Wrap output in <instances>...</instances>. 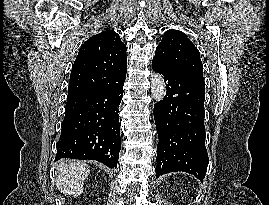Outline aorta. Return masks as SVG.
<instances>
[{
    "mask_svg": "<svg viewBox=\"0 0 269 205\" xmlns=\"http://www.w3.org/2000/svg\"><path fill=\"white\" fill-rule=\"evenodd\" d=\"M151 93L156 102L162 101L166 95V85L162 75L154 73L151 79Z\"/></svg>",
    "mask_w": 269,
    "mask_h": 205,
    "instance_id": "obj_1",
    "label": "aorta"
}]
</instances>
